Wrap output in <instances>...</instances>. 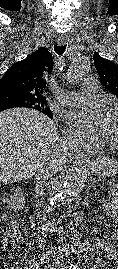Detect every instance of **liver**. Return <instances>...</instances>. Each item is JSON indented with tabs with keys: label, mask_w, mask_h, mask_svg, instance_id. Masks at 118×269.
I'll list each match as a JSON object with an SVG mask.
<instances>
[{
	"label": "liver",
	"mask_w": 118,
	"mask_h": 269,
	"mask_svg": "<svg viewBox=\"0 0 118 269\" xmlns=\"http://www.w3.org/2000/svg\"><path fill=\"white\" fill-rule=\"evenodd\" d=\"M57 140L54 121L38 111L13 108L0 112V185L31 178L52 155Z\"/></svg>",
	"instance_id": "1"
}]
</instances>
